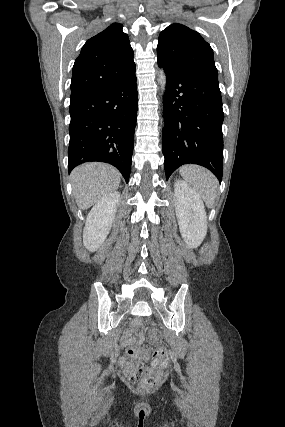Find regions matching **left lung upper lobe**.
Listing matches in <instances>:
<instances>
[{
  "mask_svg": "<svg viewBox=\"0 0 285 427\" xmlns=\"http://www.w3.org/2000/svg\"><path fill=\"white\" fill-rule=\"evenodd\" d=\"M157 60L170 68L205 73L218 79L212 48L198 32L182 24H171L160 33Z\"/></svg>",
  "mask_w": 285,
  "mask_h": 427,
  "instance_id": "obj_1",
  "label": "left lung upper lobe"
}]
</instances>
